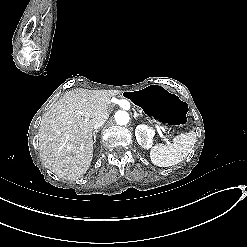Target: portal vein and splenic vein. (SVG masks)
Segmentation results:
<instances>
[{
  "instance_id": "18ae733b",
  "label": "portal vein and splenic vein",
  "mask_w": 247,
  "mask_h": 247,
  "mask_svg": "<svg viewBox=\"0 0 247 247\" xmlns=\"http://www.w3.org/2000/svg\"><path fill=\"white\" fill-rule=\"evenodd\" d=\"M156 130L159 132V136H161V138H164V134L161 131V128L158 125H155ZM166 143L170 146H173V143L170 142V140H166Z\"/></svg>"
}]
</instances>
